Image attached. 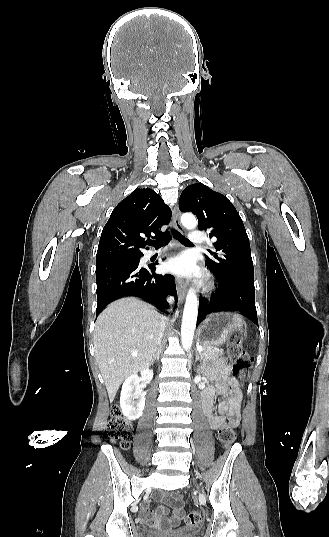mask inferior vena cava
Here are the masks:
<instances>
[{
  "mask_svg": "<svg viewBox=\"0 0 329 537\" xmlns=\"http://www.w3.org/2000/svg\"><path fill=\"white\" fill-rule=\"evenodd\" d=\"M168 301H169V303H172L173 297H169ZM165 325H166V318L162 317L161 318V323H160V331H159V335H158V344L160 343L161 338L163 336V331H164Z\"/></svg>",
  "mask_w": 329,
  "mask_h": 537,
  "instance_id": "602c4592",
  "label": "inferior vena cava"
}]
</instances>
